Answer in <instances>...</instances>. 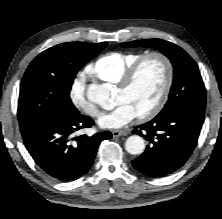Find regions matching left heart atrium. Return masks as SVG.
<instances>
[{"label": "left heart atrium", "mask_w": 222, "mask_h": 219, "mask_svg": "<svg viewBox=\"0 0 222 219\" xmlns=\"http://www.w3.org/2000/svg\"><path fill=\"white\" fill-rule=\"evenodd\" d=\"M137 116L136 111L131 105L122 102L117 104L112 111L103 114L99 118L98 124L101 128L105 129H119L129 124Z\"/></svg>", "instance_id": "obj_1"}]
</instances>
